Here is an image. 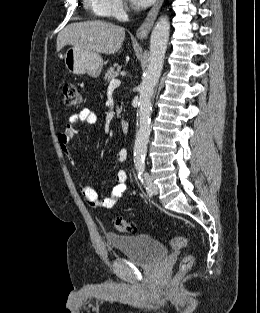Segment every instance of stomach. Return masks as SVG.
<instances>
[{
	"mask_svg": "<svg viewBox=\"0 0 260 313\" xmlns=\"http://www.w3.org/2000/svg\"><path fill=\"white\" fill-rule=\"evenodd\" d=\"M64 63L70 73L75 75L86 73L93 78L99 77L103 68V60L98 53L78 47L67 49Z\"/></svg>",
	"mask_w": 260,
	"mask_h": 313,
	"instance_id": "obj_1",
	"label": "stomach"
}]
</instances>
